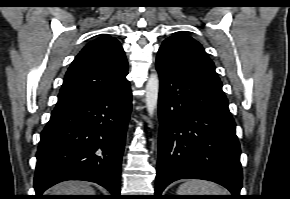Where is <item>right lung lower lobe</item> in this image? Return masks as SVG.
Returning a JSON list of instances; mask_svg holds the SVG:
<instances>
[{
	"label": "right lung lower lobe",
	"instance_id": "obj_1",
	"mask_svg": "<svg viewBox=\"0 0 290 199\" xmlns=\"http://www.w3.org/2000/svg\"><path fill=\"white\" fill-rule=\"evenodd\" d=\"M129 82L108 94L55 107L41 133L34 199L65 180L98 183L120 197V167L131 112Z\"/></svg>",
	"mask_w": 290,
	"mask_h": 199
}]
</instances>
